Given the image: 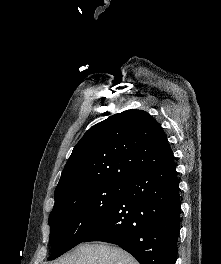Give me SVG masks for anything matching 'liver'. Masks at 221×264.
I'll list each match as a JSON object with an SVG mask.
<instances>
[{
	"instance_id": "6515ba94",
	"label": "liver",
	"mask_w": 221,
	"mask_h": 264,
	"mask_svg": "<svg viewBox=\"0 0 221 264\" xmlns=\"http://www.w3.org/2000/svg\"><path fill=\"white\" fill-rule=\"evenodd\" d=\"M52 264H139L119 247L106 244H83Z\"/></svg>"
}]
</instances>
